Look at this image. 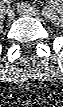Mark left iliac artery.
<instances>
[{
    "mask_svg": "<svg viewBox=\"0 0 63 107\" xmlns=\"http://www.w3.org/2000/svg\"><path fill=\"white\" fill-rule=\"evenodd\" d=\"M24 3H22V5H23ZM42 15L43 16H45V17H50L51 16V10H50V8H44L43 10H42Z\"/></svg>",
    "mask_w": 63,
    "mask_h": 107,
    "instance_id": "1",
    "label": "left iliac artery"
}]
</instances>
